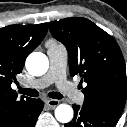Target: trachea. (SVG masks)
Instances as JSON below:
<instances>
[{
    "label": "trachea",
    "mask_w": 127,
    "mask_h": 127,
    "mask_svg": "<svg viewBox=\"0 0 127 127\" xmlns=\"http://www.w3.org/2000/svg\"><path fill=\"white\" fill-rule=\"evenodd\" d=\"M19 92L24 95L30 96V97H38L39 96V92L35 89L19 88ZM48 96L53 99H62L63 98V95L60 94L59 92H49Z\"/></svg>",
    "instance_id": "3493384b"
}]
</instances>
